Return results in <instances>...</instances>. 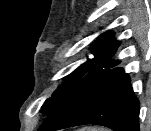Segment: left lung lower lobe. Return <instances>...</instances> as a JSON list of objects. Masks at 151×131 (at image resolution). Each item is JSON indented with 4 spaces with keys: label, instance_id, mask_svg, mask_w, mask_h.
Listing matches in <instances>:
<instances>
[{
    "label": "left lung lower lobe",
    "instance_id": "1",
    "mask_svg": "<svg viewBox=\"0 0 151 131\" xmlns=\"http://www.w3.org/2000/svg\"><path fill=\"white\" fill-rule=\"evenodd\" d=\"M98 68L101 69L97 66L91 71ZM139 106L130 78L121 68L102 70L79 79L38 131L83 124L102 125L114 131H140Z\"/></svg>",
    "mask_w": 151,
    "mask_h": 131
}]
</instances>
